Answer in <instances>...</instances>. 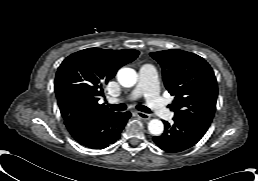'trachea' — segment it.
<instances>
[{
	"label": "trachea",
	"instance_id": "obj_1",
	"mask_svg": "<svg viewBox=\"0 0 258 181\" xmlns=\"http://www.w3.org/2000/svg\"><path fill=\"white\" fill-rule=\"evenodd\" d=\"M109 106L112 109H114L115 111H124L127 108L126 104H109ZM136 108L139 111H142V112H145V113H151V110L144 105H137Z\"/></svg>",
	"mask_w": 258,
	"mask_h": 181
}]
</instances>
